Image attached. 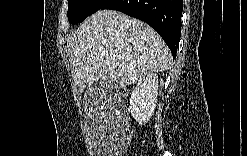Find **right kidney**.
Returning a JSON list of instances; mask_svg holds the SVG:
<instances>
[{"label": "right kidney", "mask_w": 247, "mask_h": 156, "mask_svg": "<svg viewBox=\"0 0 247 156\" xmlns=\"http://www.w3.org/2000/svg\"><path fill=\"white\" fill-rule=\"evenodd\" d=\"M158 96V76L147 74L133 89L130 98V113L139 123H147L154 113Z\"/></svg>", "instance_id": "1"}]
</instances>
